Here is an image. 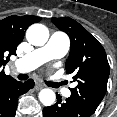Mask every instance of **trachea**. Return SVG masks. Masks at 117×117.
I'll return each instance as SVG.
<instances>
[{
  "label": "trachea",
  "instance_id": "obj_1",
  "mask_svg": "<svg viewBox=\"0 0 117 117\" xmlns=\"http://www.w3.org/2000/svg\"><path fill=\"white\" fill-rule=\"evenodd\" d=\"M18 79H19V80H26V79H28V75H27V74H19V75H18ZM63 84H64L63 82H61V83H56V84H55V87L61 86V85H63Z\"/></svg>",
  "mask_w": 117,
  "mask_h": 117
}]
</instances>
